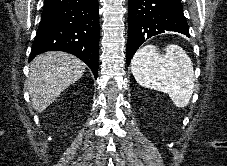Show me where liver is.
I'll return each instance as SVG.
<instances>
[{
    "label": "liver",
    "instance_id": "liver-1",
    "mask_svg": "<svg viewBox=\"0 0 227 166\" xmlns=\"http://www.w3.org/2000/svg\"><path fill=\"white\" fill-rule=\"evenodd\" d=\"M85 70V63L69 53L50 51L35 57L27 81L33 108L43 112Z\"/></svg>",
    "mask_w": 227,
    "mask_h": 166
}]
</instances>
